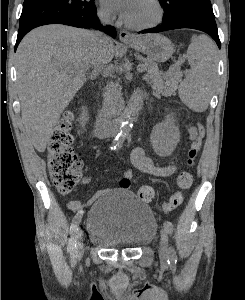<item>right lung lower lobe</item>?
I'll return each mask as SVG.
<instances>
[{
    "label": "right lung lower lobe",
    "instance_id": "1",
    "mask_svg": "<svg viewBox=\"0 0 245 300\" xmlns=\"http://www.w3.org/2000/svg\"><path fill=\"white\" fill-rule=\"evenodd\" d=\"M47 24H64V25L80 27V28H95V29H102V27H103L99 23V20L96 16V11L89 16H84V17H80V18H62V19H57V20L51 21ZM44 25H46V24H44ZM32 29L33 28L25 30V31H21L18 33L15 50H16L18 44L20 43L21 39ZM104 31H105V33L109 34L112 37L116 36V30L114 27L107 25L106 30H104Z\"/></svg>",
    "mask_w": 245,
    "mask_h": 300
}]
</instances>
